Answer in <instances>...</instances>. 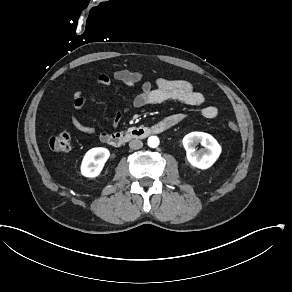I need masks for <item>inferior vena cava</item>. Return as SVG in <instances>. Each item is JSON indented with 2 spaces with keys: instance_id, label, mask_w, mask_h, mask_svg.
I'll list each match as a JSON object with an SVG mask.
<instances>
[{
  "instance_id": "obj_1",
  "label": "inferior vena cava",
  "mask_w": 292,
  "mask_h": 292,
  "mask_svg": "<svg viewBox=\"0 0 292 292\" xmlns=\"http://www.w3.org/2000/svg\"><path fill=\"white\" fill-rule=\"evenodd\" d=\"M142 146H143V143L140 140H131L129 142V148L133 150L140 149L142 148Z\"/></svg>"
}]
</instances>
